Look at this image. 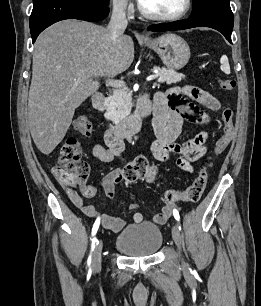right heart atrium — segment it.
<instances>
[{
	"label": "right heart atrium",
	"mask_w": 261,
	"mask_h": 306,
	"mask_svg": "<svg viewBox=\"0 0 261 306\" xmlns=\"http://www.w3.org/2000/svg\"><path fill=\"white\" fill-rule=\"evenodd\" d=\"M113 11L117 14H130L133 10V5L130 0H110Z\"/></svg>",
	"instance_id": "d8ad5b80"
}]
</instances>
